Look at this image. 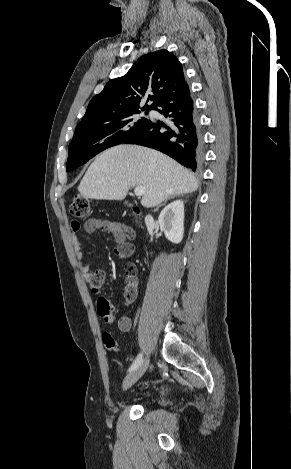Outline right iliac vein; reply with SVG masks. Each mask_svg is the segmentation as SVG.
<instances>
[{"label":"right iliac vein","mask_w":291,"mask_h":469,"mask_svg":"<svg viewBox=\"0 0 291 469\" xmlns=\"http://www.w3.org/2000/svg\"><path fill=\"white\" fill-rule=\"evenodd\" d=\"M149 365V358L145 357L141 363L138 365V367L134 370H132L124 379L123 381V389L127 390L130 388L133 384H135L139 378L145 373Z\"/></svg>","instance_id":"obj_1"}]
</instances>
